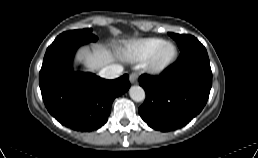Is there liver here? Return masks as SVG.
Returning a JSON list of instances; mask_svg holds the SVG:
<instances>
[{"label":"liver","instance_id":"obj_1","mask_svg":"<svg viewBox=\"0 0 258 158\" xmlns=\"http://www.w3.org/2000/svg\"><path fill=\"white\" fill-rule=\"evenodd\" d=\"M76 59L78 62L83 63L88 71H97L112 63L115 57L110 50L104 47H97L92 50L89 48L80 49Z\"/></svg>","mask_w":258,"mask_h":158}]
</instances>
